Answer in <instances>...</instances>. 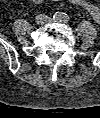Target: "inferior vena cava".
I'll list each match as a JSON object with an SVG mask.
<instances>
[{
    "mask_svg": "<svg viewBox=\"0 0 100 118\" xmlns=\"http://www.w3.org/2000/svg\"><path fill=\"white\" fill-rule=\"evenodd\" d=\"M49 19V17L47 15H44V14H39L37 17H36V20L37 22H44V21H47ZM40 20H43V21H40Z\"/></svg>",
    "mask_w": 100,
    "mask_h": 118,
    "instance_id": "1",
    "label": "inferior vena cava"
}]
</instances>
